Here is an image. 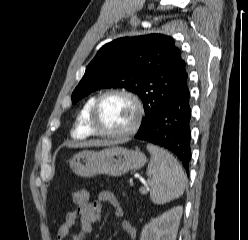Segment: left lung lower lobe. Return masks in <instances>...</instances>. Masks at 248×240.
<instances>
[{
  "mask_svg": "<svg viewBox=\"0 0 248 240\" xmlns=\"http://www.w3.org/2000/svg\"><path fill=\"white\" fill-rule=\"evenodd\" d=\"M191 106L187 88L167 102L152 121L135 135L136 139L172 151L189 170L191 160Z\"/></svg>",
  "mask_w": 248,
  "mask_h": 240,
  "instance_id": "0a47b994",
  "label": "left lung lower lobe"
}]
</instances>
